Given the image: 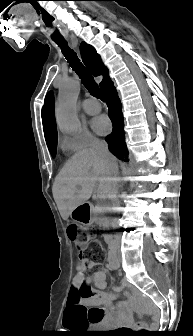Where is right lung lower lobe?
Segmentation results:
<instances>
[{"mask_svg": "<svg viewBox=\"0 0 193 336\" xmlns=\"http://www.w3.org/2000/svg\"><path fill=\"white\" fill-rule=\"evenodd\" d=\"M109 108V116L113 123L112 133L105 138L109 150L120 160L128 161V150L124 139V120L121 102L116 88L111 80H108L101 89Z\"/></svg>", "mask_w": 193, "mask_h": 336, "instance_id": "right-lung-lower-lobe-1", "label": "right lung lower lobe"}]
</instances>
